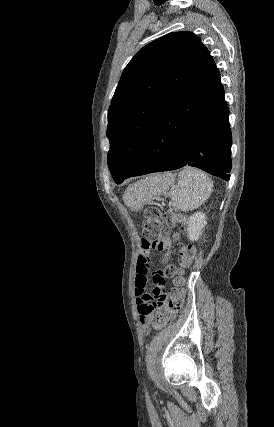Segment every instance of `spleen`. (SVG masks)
<instances>
[{
  "label": "spleen",
  "mask_w": 274,
  "mask_h": 427,
  "mask_svg": "<svg viewBox=\"0 0 274 427\" xmlns=\"http://www.w3.org/2000/svg\"><path fill=\"white\" fill-rule=\"evenodd\" d=\"M135 188H145V190H152L151 196H158V194H165L166 198H172L171 206L176 212H191L196 210L199 206L204 204L205 200H208L213 184L209 180L207 174L197 170V168H190L185 166L184 170L179 172L177 186H172L171 192H167L163 188L164 184L158 180H141L134 184ZM133 196H142V194H133Z\"/></svg>",
  "instance_id": "1"
}]
</instances>
